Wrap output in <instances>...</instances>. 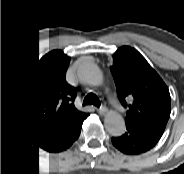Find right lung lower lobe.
Segmentation results:
<instances>
[{"label": "right lung lower lobe", "instance_id": "98d812e1", "mask_svg": "<svg viewBox=\"0 0 184 174\" xmlns=\"http://www.w3.org/2000/svg\"><path fill=\"white\" fill-rule=\"evenodd\" d=\"M86 117L87 115L82 119H80L78 122L72 124L67 130H65L59 136L42 144L36 145L47 151L52 152L63 151L69 148L72 145V143L79 137L83 120Z\"/></svg>", "mask_w": 184, "mask_h": 174}]
</instances>
